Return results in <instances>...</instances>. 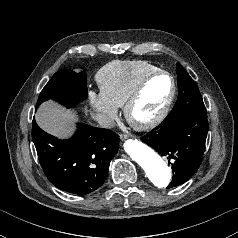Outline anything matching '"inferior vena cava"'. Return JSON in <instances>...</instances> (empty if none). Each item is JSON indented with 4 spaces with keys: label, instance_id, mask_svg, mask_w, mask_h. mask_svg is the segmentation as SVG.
Returning <instances> with one entry per match:
<instances>
[{
    "label": "inferior vena cava",
    "instance_id": "602c4592",
    "mask_svg": "<svg viewBox=\"0 0 238 238\" xmlns=\"http://www.w3.org/2000/svg\"><path fill=\"white\" fill-rule=\"evenodd\" d=\"M94 119L102 128H112L115 126L114 120L108 115L100 114V113L95 114Z\"/></svg>",
    "mask_w": 238,
    "mask_h": 238
}]
</instances>
